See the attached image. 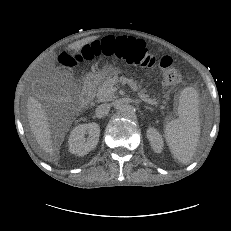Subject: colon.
<instances>
[{"mask_svg": "<svg viewBox=\"0 0 231 231\" xmlns=\"http://www.w3.org/2000/svg\"><path fill=\"white\" fill-rule=\"evenodd\" d=\"M85 52L88 59L105 56L117 58L134 66L144 68L158 67L162 70L164 82L168 86H175L181 81V73L175 67L173 59L170 56L157 58L148 52L142 40L134 37H106L101 41H94L87 45ZM60 59L62 64L66 66L76 64V58L69 53H63Z\"/></svg>", "mask_w": 231, "mask_h": 231, "instance_id": "obj_1", "label": "colon"}]
</instances>
